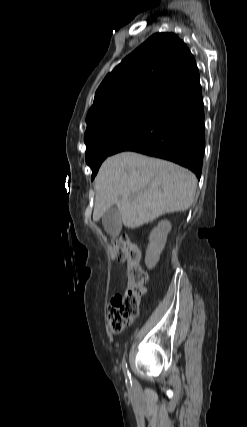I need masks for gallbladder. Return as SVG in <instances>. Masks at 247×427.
<instances>
[{
    "label": "gallbladder",
    "instance_id": "gallbladder-1",
    "mask_svg": "<svg viewBox=\"0 0 247 427\" xmlns=\"http://www.w3.org/2000/svg\"><path fill=\"white\" fill-rule=\"evenodd\" d=\"M102 224L111 236H117L120 233L122 227L121 214L115 205L106 210L102 216Z\"/></svg>",
    "mask_w": 247,
    "mask_h": 427
}]
</instances>
